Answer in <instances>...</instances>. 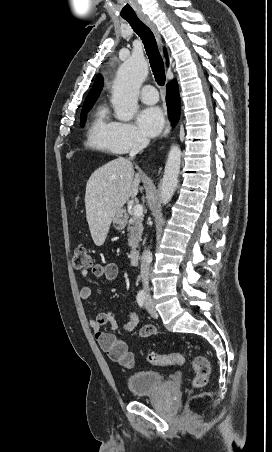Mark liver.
I'll return each instance as SVG.
<instances>
[{
	"label": "liver",
	"mask_w": 272,
	"mask_h": 452,
	"mask_svg": "<svg viewBox=\"0 0 272 452\" xmlns=\"http://www.w3.org/2000/svg\"><path fill=\"white\" fill-rule=\"evenodd\" d=\"M140 175L133 164L118 157L95 170L86 185L85 207L92 239L104 244L111 222L130 197H136Z\"/></svg>",
	"instance_id": "liver-1"
}]
</instances>
